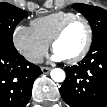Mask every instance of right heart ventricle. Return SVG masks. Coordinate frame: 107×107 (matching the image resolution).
I'll use <instances>...</instances> for the list:
<instances>
[{
    "mask_svg": "<svg viewBox=\"0 0 107 107\" xmlns=\"http://www.w3.org/2000/svg\"><path fill=\"white\" fill-rule=\"evenodd\" d=\"M70 11H58L46 16L34 19L31 27L34 32L46 43L50 44L57 29L69 18L76 16Z\"/></svg>",
    "mask_w": 107,
    "mask_h": 107,
    "instance_id": "right-heart-ventricle-1",
    "label": "right heart ventricle"
}]
</instances>
